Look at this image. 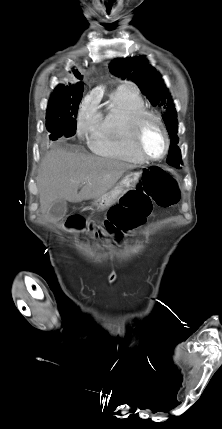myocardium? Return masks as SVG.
I'll use <instances>...</instances> for the list:
<instances>
[{
  "label": "myocardium",
  "instance_id": "myocardium-1",
  "mask_svg": "<svg viewBox=\"0 0 222 429\" xmlns=\"http://www.w3.org/2000/svg\"><path fill=\"white\" fill-rule=\"evenodd\" d=\"M151 118L157 122L165 139V149L161 156L152 157L145 152L141 144V131L146 119ZM132 143L136 151L147 161H159L165 158L170 149V136L162 119L153 111L143 109L137 112L132 121Z\"/></svg>",
  "mask_w": 222,
  "mask_h": 429
}]
</instances>
